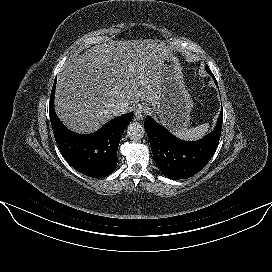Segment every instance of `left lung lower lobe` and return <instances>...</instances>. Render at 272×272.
Returning <instances> with one entry per match:
<instances>
[{
  "label": "left lung lower lobe",
  "instance_id": "left-lung-lower-lobe-1",
  "mask_svg": "<svg viewBox=\"0 0 272 272\" xmlns=\"http://www.w3.org/2000/svg\"><path fill=\"white\" fill-rule=\"evenodd\" d=\"M212 76L213 74L209 72ZM213 79L216 82L215 77ZM223 110L215 130L197 142H186L174 137L164 127L147 117L144 126L149 138L154 160L160 171L170 179L194 176L212 158L221 135Z\"/></svg>",
  "mask_w": 272,
  "mask_h": 272
}]
</instances>
